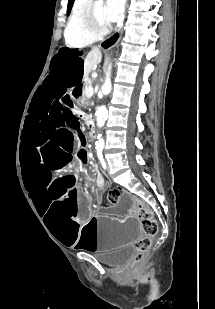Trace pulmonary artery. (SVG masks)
<instances>
[{"label": "pulmonary artery", "instance_id": "obj_1", "mask_svg": "<svg viewBox=\"0 0 215 309\" xmlns=\"http://www.w3.org/2000/svg\"><path fill=\"white\" fill-rule=\"evenodd\" d=\"M74 7L75 8H86L87 7V2L80 0V1H75L74 2Z\"/></svg>", "mask_w": 215, "mask_h": 309}]
</instances>
